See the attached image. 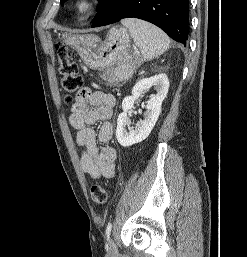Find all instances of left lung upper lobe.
<instances>
[{
    "label": "left lung upper lobe",
    "instance_id": "left-lung-upper-lobe-1",
    "mask_svg": "<svg viewBox=\"0 0 247 257\" xmlns=\"http://www.w3.org/2000/svg\"><path fill=\"white\" fill-rule=\"evenodd\" d=\"M67 0H61V5L64 4V2H66ZM99 1V4L100 6L106 1V0H98Z\"/></svg>",
    "mask_w": 247,
    "mask_h": 257
}]
</instances>
